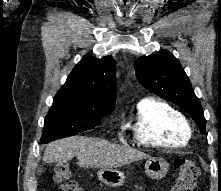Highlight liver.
Instances as JSON below:
<instances>
[{
    "label": "liver",
    "instance_id": "1",
    "mask_svg": "<svg viewBox=\"0 0 221 191\" xmlns=\"http://www.w3.org/2000/svg\"><path fill=\"white\" fill-rule=\"evenodd\" d=\"M74 156L79 166L85 168H117L149 158L144 152L111 144L104 139L75 136L50 143L44 152L43 161L68 162Z\"/></svg>",
    "mask_w": 221,
    "mask_h": 191
}]
</instances>
